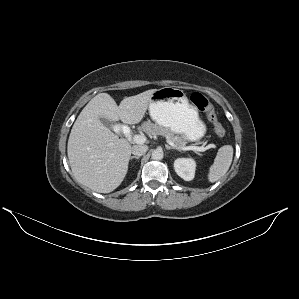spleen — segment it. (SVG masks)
I'll return each mask as SVG.
<instances>
[{
	"instance_id": "1",
	"label": "spleen",
	"mask_w": 299,
	"mask_h": 299,
	"mask_svg": "<svg viewBox=\"0 0 299 299\" xmlns=\"http://www.w3.org/2000/svg\"><path fill=\"white\" fill-rule=\"evenodd\" d=\"M233 159V147L231 145L222 146L216 155L213 165L209 169L208 180L212 183L218 181L226 174Z\"/></svg>"
}]
</instances>
